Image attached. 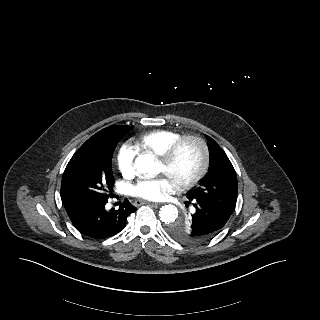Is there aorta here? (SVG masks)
<instances>
[{
	"label": "aorta",
	"instance_id": "1",
	"mask_svg": "<svg viewBox=\"0 0 320 320\" xmlns=\"http://www.w3.org/2000/svg\"><path fill=\"white\" fill-rule=\"evenodd\" d=\"M159 163L152 155L140 154L136 157L134 168L138 174L155 176L159 174ZM178 209L172 204L160 208V220L166 224L174 222L178 218Z\"/></svg>",
	"mask_w": 320,
	"mask_h": 320
}]
</instances>
